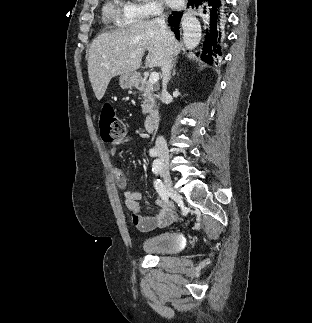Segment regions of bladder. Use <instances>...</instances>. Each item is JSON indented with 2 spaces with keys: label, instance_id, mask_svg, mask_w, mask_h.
I'll return each instance as SVG.
<instances>
[{
  "label": "bladder",
  "instance_id": "obj_1",
  "mask_svg": "<svg viewBox=\"0 0 312 323\" xmlns=\"http://www.w3.org/2000/svg\"><path fill=\"white\" fill-rule=\"evenodd\" d=\"M141 249L149 254H162L179 249L177 234L163 232L151 238H146L141 244Z\"/></svg>",
  "mask_w": 312,
  "mask_h": 323
}]
</instances>
